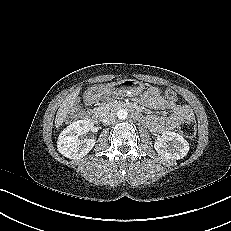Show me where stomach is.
Instances as JSON below:
<instances>
[{
	"mask_svg": "<svg viewBox=\"0 0 231 231\" xmlns=\"http://www.w3.org/2000/svg\"><path fill=\"white\" fill-rule=\"evenodd\" d=\"M111 90L119 95L136 96L143 92L144 86L135 79H124L112 84Z\"/></svg>",
	"mask_w": 231,
	"mask_h": 231,
	"instance_id": "1",
	"label": "stomach"
}]
</instances>
